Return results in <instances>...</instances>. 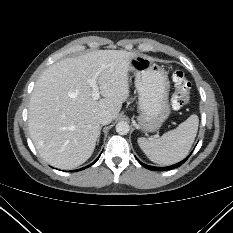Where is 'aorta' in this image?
I'll use <instances>...</instances> for the list:
<instances>
[{
	"label": "aorta",
	"instance_id": "obj_1",
	"mask_svg": "<svg viewBox=\"0 0 233 233\" xmlns=\"http://www.w3.org/2000/svg\"><path fill=\"white\" fill-rule=\"evenodd\" d=\"M130 131V126L127 122L121 121L116 124V132L120 135H126Z\"/></svg>",
	"mask_w": 233,
	"mask_h": 233
}]
</instances>
